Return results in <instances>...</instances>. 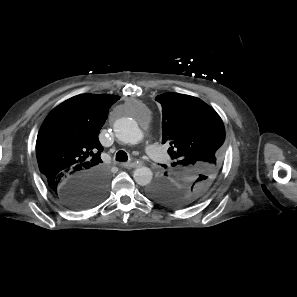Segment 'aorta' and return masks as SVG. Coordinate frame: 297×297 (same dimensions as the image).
Segmentation results:
<instances>
[{"instance_id":"aorta-1","label":"aorta","mask_w":297,"mask_h":297,"mask_svg":"<svg viewBox=\"0 0 297 297\" xmlns=\"http://www.w3.org/2000/svg\"><path fill=\"white\" fill-rule=\"evenodd\" d=\"M114 131L117 139L125 144L136 145L143 139V132L136 121L123 117L114 124ZM134 180L141 186L148 185L153 177V173L148 167H139L134 171Z\"/></svg>"}]
</instances>
